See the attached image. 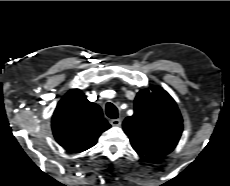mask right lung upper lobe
I'll list each match as a JSON object with an SVG mask.
<instances>
[{"mask_svg": "<svg viewBox=\"0 0 230 186\" xmlns=\"http://www.w3.org/2000/svg\"><path fill=\"white\" fill-rule=\"evenodd\" d=\"M110 127L101 108L88 101L79 89L70 90L59 101L52 117L56 141L73 153L94 146L99 135Z\"/></svg>", "mask_w": 230, "mask_h": 186, "instance_id": "1", "label": "right lung upper lobe"}]
</instances>
